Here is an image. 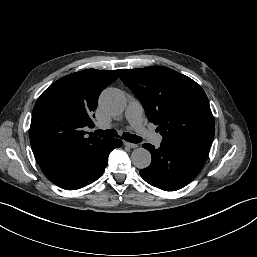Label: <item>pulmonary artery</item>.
Segmentation results:
<instances>
[{
    "mask_svg": "<svg viewBox=\"0 0 257 257\" xmlns=\"http://www.w3.org/2000/svg\"><path fill=\"white\" fill-rule=\"evenodd\" d=\"M143 108L139 101L131 100L125 111V119L132 129L146 136L154 145L162 142V136L148 131L143 125Z\"/></svg>",
    "mask_w": 257,
    "mask_h": 257,
    "instance_id": "obj_1",
    "label": "pulmonary artery"
}]
</instances>
